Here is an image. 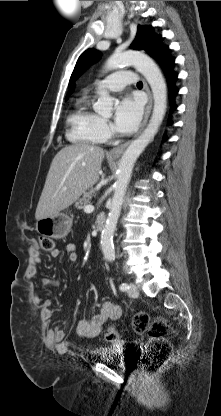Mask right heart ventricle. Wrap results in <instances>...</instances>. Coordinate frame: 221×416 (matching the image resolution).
<instances>
[{"label":"right heart ventricle","mask_w":221,"mask_h":416,"mask_svg":"<svg viewBox=\"0 0 221 416\" xmlns=\"http://www.w3.org/2000/svg\"><path fill=\"white\" fill-rule=\"evenodd\" d=\"M101 117L96 114L87 96L80 98L69 116V138L73 142L98 144L105 140L101 133Z\"/></svg>","instance_id":"e07e8e85"}]
</instances>
